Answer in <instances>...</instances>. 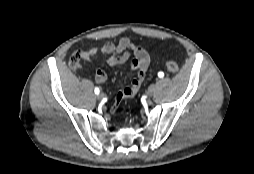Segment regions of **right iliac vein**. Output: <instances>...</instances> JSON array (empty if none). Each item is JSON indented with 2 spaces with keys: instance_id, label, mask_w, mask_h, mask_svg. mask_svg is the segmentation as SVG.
<instances>
[{
  "instance_id": "right-iliac-vein-1",
  "label": "right iliac vein",
  "mask_w": 254,
  "mask_h": 174,
  "mask_svg": "<svg viewBox=\"0 0 254 174\" xmlns=\"http://www.w3.org/2000/svg\"><path fill=\"white\" fill-rule=\"evenodd\" d=\"M104 98V95L102 93L98 94L97 95V99L98 100H102Z\"/></svg>"
}]
</instances>
